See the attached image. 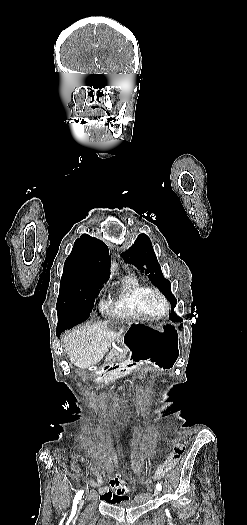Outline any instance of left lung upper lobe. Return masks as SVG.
<instances>
[{
    "label": "left lung upper lobe",
    "instance_id": "1",
    "mask_svg": "<svg viewBox=\"0 0 247 525\" xmlns=\"http://www.w3.org/2000/svg\"><path fill=\"white\" fill-rule=\"evenodd\" d=\"M125 261L134 264L138 269L144 270L149 275L151 282L159 288L165 297L172 303L171 320L182 321L174 312L173 308L176 306L177 300L171 293V284L164 278L161 267L153 250L152 243L149 237L145 234H140L135 240L134 244L121 255Z\"/></svg>",
    "mask_w": 247,
    "mask_h": 525
}]
</instances>
